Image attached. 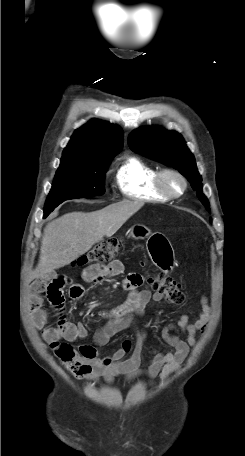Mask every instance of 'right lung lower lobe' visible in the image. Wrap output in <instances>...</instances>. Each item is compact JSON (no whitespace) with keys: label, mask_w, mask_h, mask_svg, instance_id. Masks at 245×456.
<instances>
[{"label":"right lung lower lobe","mask_w":245,"mask_h":456,"mask_svg":"<svg viewBox=\"0 0 245 456\" xmlns=\"http://www.w3.org/2000/svg\"><path fill=\"white\" fill-rule=\"evenodd\" d=\"M48 215H49V214H48ZM48 215H45V214H44V218L47 217Z\"/></svg>","instance_id":"obj_1"}]
</instances>
